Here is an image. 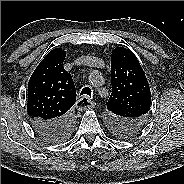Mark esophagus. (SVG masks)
I'll list each match as a JSON object with an SVG mask.
<instances>
[{"mask_svg": "<svg viewBox=\"0 0 184 184\" xmlns=\"http://www.w3.org/2000/svg\"><path fill=\"white\" fill-rule=\"evenodd\" d=\"M96 103L90 100L87 96H83L77 100L76 107L80 110L94 108Z\"/></svg>", "mask_w": 184, "mask_h": 184, "instance_id": "esophagus-1", "label": "esophagus"}]
</instances>
